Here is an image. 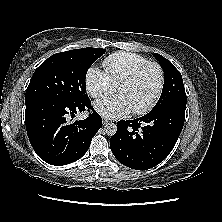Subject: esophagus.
I'll use <instances>...</instances> for the list:
<instances>
[{"mask_svg":"<svg viewBox=\"0 0 222 222\" xmlns=\"http://www.w3.org/2000/svg\"><path fill=\"white\" fill-rule=\"evenodd\" d=\"M110 121L107 119H103V124H108Z\"/></svg>","mask_w":222,"mask_h":222,"instance_id":"esophagus-1","label":"esophagus"}]
</instances>
